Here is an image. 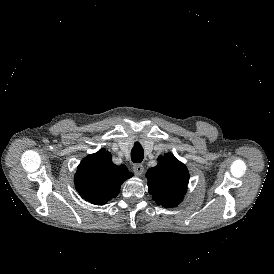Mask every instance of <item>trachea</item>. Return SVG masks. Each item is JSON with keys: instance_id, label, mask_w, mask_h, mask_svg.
<instances>
[{"instance_id": "1", "label": "trachea", "mask_w": 274, "mask_h": 274, "mask_svg": "<svg viewBox=\"0 0 274 274\" xmlns=\"http://www.w3.org/2000/svg\"><path fill=\"white\" fill-rule=\"evenodd\" d=\"M144 158V151L140 144L137 142L131 150V160L133 163H141Z\"/></svg>"}]
</instances>
